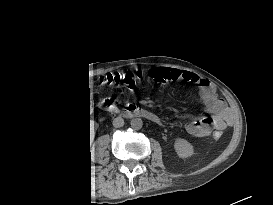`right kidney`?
Masks as SVG:
<instances>
[{
    "mask_svg": "<svg viewBox=\"0 0 273 205\" xmlns=\"http://www.w3.org/2000/svg\"><path fill=\"white\" fill-rule=\"evenodd\" d=\"M95 135V127L93 126V123H91V130H90V143L92 142Z\"/></svg>",
    "mask_w": 273,
    "mask_h": 205,
    "instance_id": "right-kidney-1",
    "label": "right kidney"
}]
</instances>
